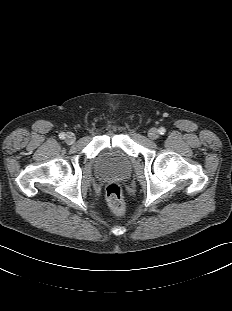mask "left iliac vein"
Instances as JSON below:
<instances>
[{
  "label": "left iliac vein",
  "mask_w": 232,
  "mask_h": 311,
  "mask_svg": "<svg viewBox=\"0 0 232 311\" xmlns=\"http://www.w3.org/2000/svg\"><path fill=\"white\" fill-rule=\"evenodd\" d=\"M148 137L151 139V140H156L158 137H159V132L156 128H151L149 131H148Z\"/></svg>",
  "instance_id": "left-iliac-vein-1"
}]
</instances>
